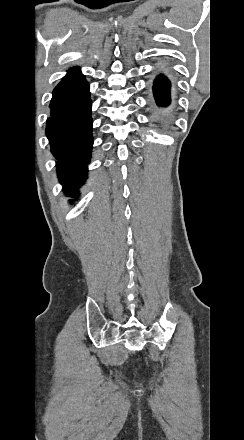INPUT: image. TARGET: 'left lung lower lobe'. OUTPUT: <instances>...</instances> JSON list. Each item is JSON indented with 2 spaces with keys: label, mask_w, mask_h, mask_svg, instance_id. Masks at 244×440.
<instances>
[{
  "label": "left lung lower lobe",
  "mask_w": 244,
  "mask_h": 440,
  "mask_svg": "<svg viewBox=\"0 0 244 440\" xmlns=\"http://www.w3.org/2000/svg\"><path fill=\"white\" fill-rule=\"evenodd\" d=\"M170 86V81L163 75L155 79L153 92L158 106L166 107L170 104ZM153 118L163 129H168L171 126L172 118L170 115L153 113Z\"/></svg>",
  "instance_id": "obj_1"
}]
</instances>
